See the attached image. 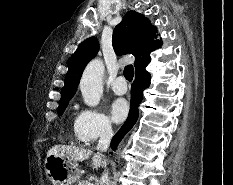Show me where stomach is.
Listing matches in <instances>:
<instances>
[{"instance_id":"obj_1","label":"stomach","mask_w":233,"mask_h":185,"mask_svg":"<svg viewBox=\"0 0 233 185\" xmlns=\"http://www.w3.org/2000/svg\"><path fill=\"white\" fill-rule=\"evenodd\" d=\"M45 171L53 185H73L79 178L77 164L58 155H47Z\"/></svg>"}]
</instances>
